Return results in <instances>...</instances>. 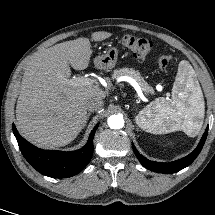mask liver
Here are the masks:
<instances>
[{"label": "liver", "instance_id": "obj_1", "mask_svg": "<svg viewBox=\"0 0 215 215\" xmlns=\"http://www.w3.org/2000/svg\"><path fill=\"white\" fill-rule=\"evenodd\" d=\"M112 36L99 31L92 41ZM88 38H78L36 52L28 61L16 105L17 126L24 138L39 147H59L72 142L85 125L90 97L104 99L97 84L67 83L71 65L75 70L89 66L92 50Z\"/></svg>", "mask_w": 215, "mask_h": 215}]
</instances>
